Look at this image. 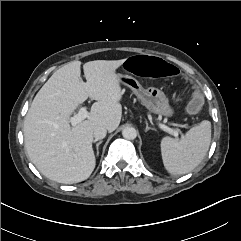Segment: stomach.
<instances>
[{"mask_svg": "<svg viewBox=\"0 0 241 241\" xmlns=\"http://www.w3.org/2000/svg\"><path fill=\"white\" fill-rule=\"evenodd\" d=\"M120 82L130 87L135 95L151 113L172 117L174 110L169 105V101L164 92L158 88L150 87L144 89L139 81L132 75L118 74Z\"/></svg>", "mask_w": 241, "mask_h": 241, "instance_id": "stomach-1", "label": "stomach"}]
</instances>
